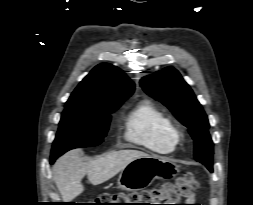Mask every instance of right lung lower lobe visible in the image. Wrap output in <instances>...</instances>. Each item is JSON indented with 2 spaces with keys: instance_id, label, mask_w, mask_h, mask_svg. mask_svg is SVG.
Returning <instances> with one entry per match:
<instances>
[{
  "instance_id": "right-lung-lower-lobe-1",
  "label": "right lung lower lobe",
  "mask_w": 253,
  "mask_h": 205,
  "mask_svg": "<svg viewBox=\"0 0 253 205\" xmlns=\"http://www.w3.org/2000/svg\"><path fill=\"white\" fill-rule=\"evenodd\" d=\"M56 159H57V158H55V157H51L50 163H54V161H55Z\"/></svg>"
}]
</instances>
